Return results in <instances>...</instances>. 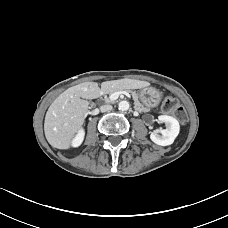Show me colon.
Wrapping results in <instances>:
<instances>
[{
	"label": "colon",
	"mask_w": 228,
	"mask_h": 228,
	"mask_svg": "<svg viewBox=\"0 0 228 228\" xmlns=\"http://www.w3.org/2000/svg\"><path fill=\"white\" fill-rule=\"evenodd\" d=\"M162 109L165 113L173 115L180 122H184L187 119L184 108L176 98L165 97L162 102Z\"/></svg>",
	"instance_id": "obj_1"
}]
</instances>
